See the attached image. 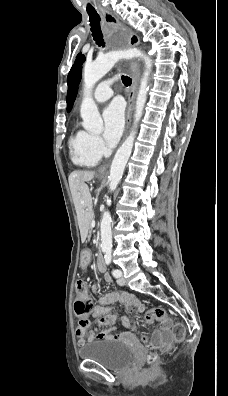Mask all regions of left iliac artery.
<instances>
[{"instance_id":"44dca946","label":"left iliac artery","mask_w":228,"mask_h":396,"mask_svg":"<svg viewBox=\"0 0 228 396\" xmlns=\"http://www.w3.org/2000/svg\"><path fill=\"white\" fill-rule=\"evenodd\" d=\"M105 262H106V264H110V263H111V252H110V251H107V252H106V255H105ZM121 274H122L121 271L118 270V269H113V270H112V275H113L114 277H116V278L120 277Z\"/></svg>"}]
</instances>
